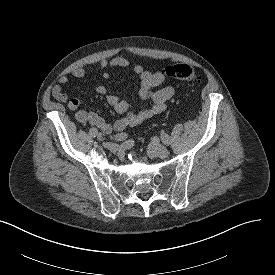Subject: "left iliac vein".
Listing matches in <instances>:
<instances>
[{"label": "left iliac vein", "instance_id": "left-iliac-vein-1", "mask_svg": "<svg viewBox=\"0 0 275 275\" xmlns=\"http://www.w3.org/2000/svg\"><path fill=\"white\" fill-rule=\"evenodd\" d=\"M148 153L153 157L166 158L169 151L158 141H153L148 146Z\"/></svg>", "mask_w": 275, "mask_h": 275}]
</instances>
